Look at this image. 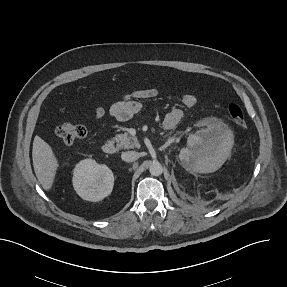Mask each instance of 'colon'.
I'll return each instance as SVG.
<instances>
[{
	"label": "colon",
	"instance_id": "obj_1",
	"mask_svg": "<svg viewBox=\"0 0 287 287\" xmlns=\"http://www.w3.org/2000/svg\"><path fill=\"white\" fill-rule=\"evenodd\" d=\"M228 115L235 124L245 126V116L240 105L231 103L228 106ZM55 132L64 143L70 145L84 138L87 134V129L82 124L64 123L57 126Z\"/></svg>",
	"mask_w": 287,
	"mask_h": 287
}]
</instances>
